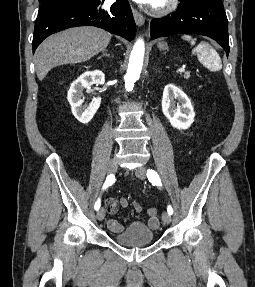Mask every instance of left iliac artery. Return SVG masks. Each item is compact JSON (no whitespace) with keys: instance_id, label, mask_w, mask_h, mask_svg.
Wrapping results in <instances>:
<instances>
[{"instance_id":"left-iliac-artery-1","label":"left iliac artery","mask_w":255,"mask_h":287,"mask_svg":"<svg viewBox=\"0 0 255 287\" xmlns=\"http://www.w3.org/2000/svg\"><path fill=\"white\" fill-rule=\"evenodd\" d=\"M147 177H148V180H149L153 185L162 186L160 177H159V175L157 174V172H155L154 170L148 169V170H147ZM167 211H168V213H169L170 215L173 214V209H172V207H171L170 205L168 206Z\"/></svg>"}]
</instances>
